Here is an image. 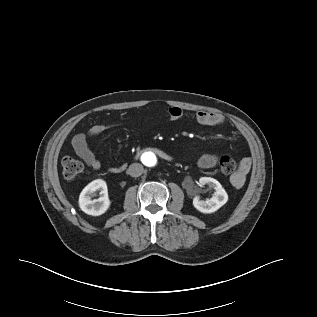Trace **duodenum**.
<instances>
[{"label": "duodenum", "instance_id": "duodenum-1", "mask_svg": "<svg viewBox=\"0 0 317 317\" xmlns=\"http://www.w3.org/2000/svg\"><path fill=\"white\" fill-rule=\"evenodd\" d=\"M162 158H164V159H166V160H170L171 159V157L168 155V154H166V153H164L163 151H161V150H155Z\"/></svg>", "mask_w": 317, "mask_h": 317}]
</instances>
